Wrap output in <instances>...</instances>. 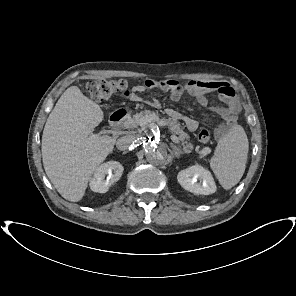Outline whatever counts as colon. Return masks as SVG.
<instances>
[{"label":"colon","mask_w":296,"mask_h":296,"mask_svg":"<svg viewBox=\"0 0 296 296\" xmlns=\"http://www.w3.org/2000/svg\"><path fill=\"white\" fill-rule=\"evenodd\" d=\"M85 93L95 101H103L113 95H123L127 92V82L123 79L108 80L101 79L90 81L84 86ZM211 134L207 129H201L198 133V140L203 143H209Z\"/></svg>","instance_id":"colon-1"}]
</instances>
